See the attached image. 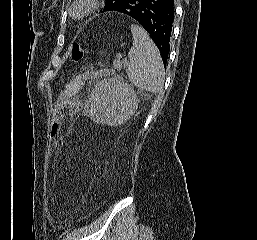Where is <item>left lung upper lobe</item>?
I'll return each instance as SVG.
<instances>
[{
	"instance_id": "1",
	"label": "left lung upper lobe",
	"mask_w": 257,
	"mask_h": 240,
	"mask_svg": "<svg viewBox=\"0 0 257 240\" xmlns=\"http://www.w3.org/2000/svg\"><path fill=\"white\" fill-rule=\"evenodd\" d=\"M124 0H105L106 4L101 12L109 11L119 6Z\"/></svg>"
}]
</instances>
